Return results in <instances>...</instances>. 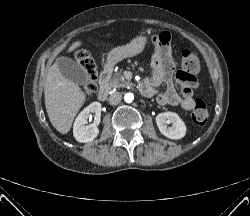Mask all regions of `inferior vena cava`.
<instances>
[{
	"label": "inferior vena cava",
	"mask_w": 250,
	"mask_h": 216,
	"mask_svg": "<svg viewBox=\"0 0 250 216\" xmlns=\"http://www.w3.org/2000/svg\"><path fill=\"white\" fill-rule=\"evenodd\" d=\"M122 100V94L120 92H114L109 97V103L111 105H117Z\"/></svg>",
	"instance_id": "inferior-vena-cava-1"
}]
</instances>
